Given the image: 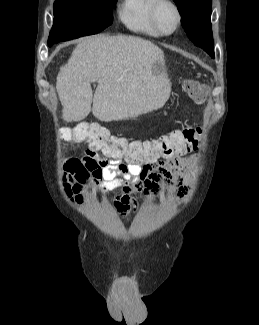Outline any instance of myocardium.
<instances>
[{
    "label": "myocardium",
    "mask_w": 259,
    "mask_h": 325,
    "mask_svg": "<svg viewBox=\"0 0 259 325\" xmlns=\"http://www.w3.org/2000/svg\"><path fill=\"white\" fill-rule=\"evenodd\" d=\"M164 3L170 4L174 8V10L176 12V16H177L176 24H175L174 28L169 32H164L160 28L158 21H157V10H158L159 6ZM149 15H150V20H151L153 27L156 29V31L160 35H163V36H168V35L175 33L178 30V28L180 27L182 18H183L181 8L175 0H154L152 6L150 8Z\"/></svg>",
    "instance_id": "myocardium-1"
}]
</instances>
